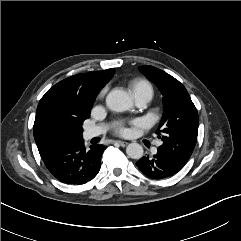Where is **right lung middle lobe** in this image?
I'll return each instance as SVG.
<instances>
[{"instance_id":"dd1d6c3e","label":"right lung middle lobe","mask_w":241,"mask_h":241,"mask_svg":"<svg viewBox=\"0 0 241 241\" xmlns=\"http://www.w3.org/2000/svg\"><path fill=\"white\" fill-rule=\"evenodd\" d=\"M84 120L55 121L50 127V136L59 144H65L82 138V124Z\"/></svg>"}]
</instances>
